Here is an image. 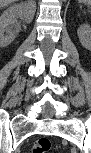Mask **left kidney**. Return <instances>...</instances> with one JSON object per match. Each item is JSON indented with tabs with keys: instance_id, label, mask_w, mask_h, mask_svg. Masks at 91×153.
<instances>
[{
	"instance_id": "left-kidney-1",
	"label": "left kidney",
	"mask_w": 91,
	"mask_h": 153,
	"mask_svg": "<svg viewBox=\"0 0 91 153\" xmlns=\"http://www.w3.org/2000/svg\"><path fill=\"white\" fill-rule=\"evenodd\" d=\"M77 34L79 37V40L82 44V46L88 50L91 49V27L89 24H83L81 25L78 30H77Z\"/></svg>"
}]
</instances>
